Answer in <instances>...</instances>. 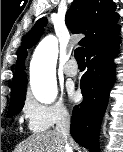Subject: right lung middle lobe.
Listing matches in <instances>:
<instances>
[{"label":"right lung middle lobe","mask_w":123,"mask_h":152,"mask_svg":"<svg viewBox=\"0 0 123 152\" xmlns=\"http://www.w3.org/2000/svg\"><path fill=\"white\" fill-rule=\"evenodd\" d=\"M25 97H26L25 88L20 89L19 91L11 94V102L7 116L16 115L21 111L24 105Z\"/></svg>","instance_id":"obj_1"}]
</instances>
